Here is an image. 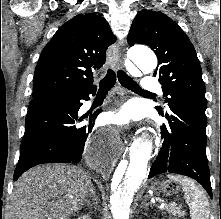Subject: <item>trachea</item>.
Wrapping results in <instances>:
<instances>
[{
    "label": "trachea",
    "mask_w": 221,
    "mask_h": 219,
    "mask_svg": "<svg viewBox=\"0 0 221 219\" xmlns=\"http://www.w3.org/2000/svg\"><path fill=\"white\" fill-rule=\"evenodd\" d=\"M117 77L122 86L135 93L146 95L147 93L125 72L119 70ZM116 82V74L113 70L109 69L106 76L100 81L99 91L108 92Z\"/></svg>",
    "instance_id": "trachea-1"
}]
</instances>
